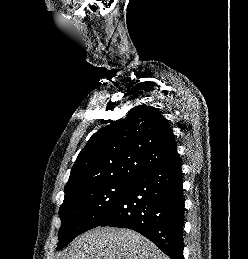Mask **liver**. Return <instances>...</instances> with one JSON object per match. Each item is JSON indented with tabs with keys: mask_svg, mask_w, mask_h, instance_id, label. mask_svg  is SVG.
Listing matches in <instances>:
<instances>
[{
	"mask_svg": "<svg viewBox=\"0 0 248 259\" xmlns=\"http://www.w3.org/2000/svg\"><path fill=\"white\" fill-rule=\"evenodd\" d=\"M59 259H169L151 241L125 228L97 227L77 237Z\"/></svg>",
	"mask_w": 248,
	"mask_h": 259,
	"instance_id": "6515ba94",
	"label": "liver"
}]
</instances>
